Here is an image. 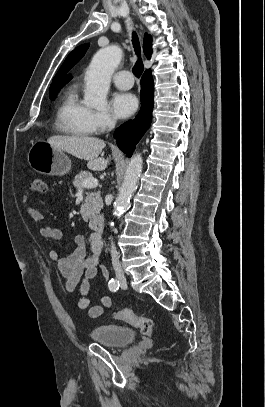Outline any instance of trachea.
<instances>
[{
    "label": "trachea",
    "mask_w": 265,
    "mask_h": 407,
    "mask_svg": "<svg viewBox=\"0 0 265 407\" xmlns=\"http://www.w3.org/2000/svg\"><path fill=\"white\" fill-rule=\"evenodd\" d=\"M132 42H133V46H134V48H135L136 54H137L138 56H140V52H141V51H140V43H139L138 36H137V34H136L135 32L133 33ZM143 68H144V66H143V63H142V59L139 58V59L137 60V62L135 63V66H134L133 69H132L134 75H135L137 78H139V77L141 76V74H142V72H143Z\"/></svg>",
    "instance_id": "3493384b"
}]
</instances>
